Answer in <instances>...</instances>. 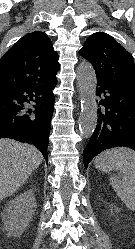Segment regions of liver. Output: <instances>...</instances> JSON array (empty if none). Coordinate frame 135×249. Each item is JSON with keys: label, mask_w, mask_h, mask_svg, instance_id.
<instances>
[{"label": "liver", "mask_w": 135, "mask_h": 249, "mask_svg": "<svg viewBox=\"0 0 135 249\" xmlns=\"http://www.w3.org/2000/svg\"><path fill=\"white\" fill-rule=\"evenodd\" d=\"M43 160L32 145L0 139V201L14 194Z\"/></svg>", "instance_id": "1"}]
</instances>
